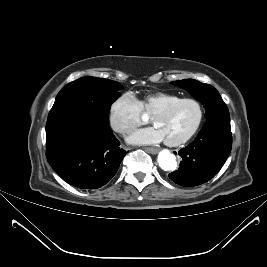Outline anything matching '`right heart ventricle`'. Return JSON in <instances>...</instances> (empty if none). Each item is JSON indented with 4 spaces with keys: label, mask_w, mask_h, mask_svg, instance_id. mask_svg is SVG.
Returning <instances> with one entry per match:
<instances>
[{
    "label": "right heart ventricle",
    "mask_w": 267,
    "mask_h": 267,
    "mask_svg": "<svg viewBox=\"0 0 267 267\" xmlns=\"http://www.w3.org/2000/svg\"><path fill=\"white\" fill-rule=\"evenodd\" d=\"M180 99V96L166 92L151 93L139 101L143 110L153 114L157 109Z\"/></svg>",
    "instance_id": "obj_1"
}]
</instances>
